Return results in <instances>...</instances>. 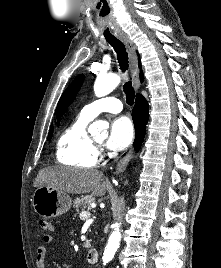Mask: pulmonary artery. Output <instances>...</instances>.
Returning <instances> with one entry per match:
<instances>
[{
	"instance_id": "pulmonary-artery-1",
	"label": "pulmonary artery",
	"mask_w": 221,
	"mask_h": 268,
	"mask_svg": "<svg viewBox=\"0 0 221 268\" xmlns=\"http://www.w3.org/2000/svg\"><path fill=\"white\" fill-rule=\"evenodd\" d=\"M121 110L122 103L119 99L114 97H105L86 105L82 109L81 113L85 117L93 119L102 112L119 113Z\"/></svg>"
}]
</instances>
